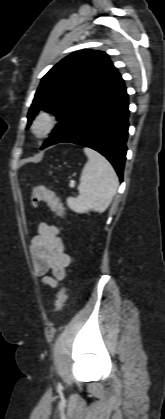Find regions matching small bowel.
Returning a JSON list of instances; mask_svg holds the SVG:
<instances>
[{
  "instance_id": "c3829d8e",
  "label": "small bowel",
  "mask_w": 165,
  "mask_h": 419,
  "mask_svg": "<svg viewBox=\"0 0 165 419\" xmlns=\"http://www.w3.org/2000/svg\"><path fill=\"white\" fill-rule=\"evenodd\" d=\"M30 254L36 275L45 285L57 287L65 279L71 258L65 251L59 228L45 222L38 225V233L31 239ZM51 275H48V273Z\"/></svg>"
}]
</instances>
